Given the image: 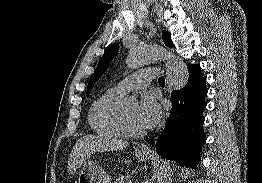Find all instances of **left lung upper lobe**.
Listing matches in <instances>:
<instances>
[{"label":"left lung upper lobe","mask_w":262,"mask_h":183,"mask_svg":"<svg viewBox=\"0 0 262 183\" xmlns=\"http://www.w3.org/2000/svg\"><path fill=\"white\" fill-rule=\"evenodd\" d=\"M163 40H164V42L167 46H169V47L173 46V43L170 39V34L167 31L163 32ZM118 50H119V44L114 43L105 51V53L103 54V56L101 57L98 65H97L95 72L90 77V80H89V83H88V88H87V93H86L87 95L92 90L95 82L107 70L109 63L116 56V54L118 53Z\"/></svg>","instance_id":"obj_1"}]
</instances>
